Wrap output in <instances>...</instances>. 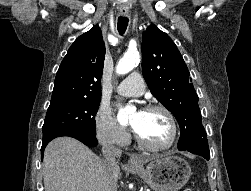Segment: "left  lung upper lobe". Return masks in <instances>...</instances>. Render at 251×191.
<instances>
[{"mask_svg": "<svg viewBox=\"0 0 251 191\" xmlns=\"http://www.w3.org/2000/svg\"><path fill=\"white\" fill-rule=\"evenodd\" d=\"M141 50L143 77L151 93L179 123L178 149L198 148L210 154L198 96L177 46L166 33L150 25L143 33Z\"/></svg>", "mask_w": 251, "mask_h": 191, "instance_id": "obj_1", "label": "left lung upper lobe"}]
</instances>
